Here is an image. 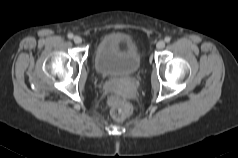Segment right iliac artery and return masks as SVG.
Wrapping results in <instances>:
<instances>
[{"instance_id": "obj_1", "label": "right iliac artery", "mask_w": 238, "mask_h": 158, "mask_svg": "<svg viewBox=\"0 0 238 158\" xmlns=\"http://www.w3.org/2000/svg\"><path fill=\"white\" fill-rule=\"evenodd\" d=\"M68 38H69V39H72V38H73V34H72V33H69V34H68Z\"/></svg>"}]
</instances>
